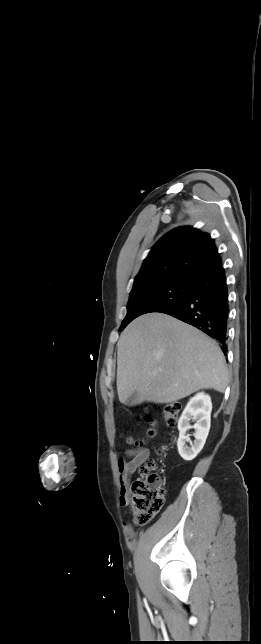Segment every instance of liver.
I'll list each match as a JSON object with an SVG mask.
<instances>
[{"label":"liver","mask_w":261,"mask_h":644,"mask_svg":"<svg viewBox=\"0 0 261 644\" xmlns=\"http://www.w3.org/2000/svg\"><path fill=\"white\" fill-rule=\"evenodd\" d=\"M117 391L127 403H171L200 389L223 393L229 377L219 346L172 316L149 313L133 320L117 343Z\"/></svg>","instance_id":"1"}]
</instances>
